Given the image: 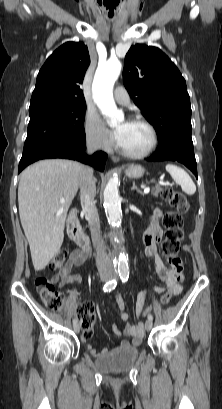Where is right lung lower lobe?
Returning a JSON list of instances; mask_svg holds the SVG:
<instances>
[{
  "label": "right lung lower lobe",
  "instance_id": "98d812e1",
  "mask_svg": "<svg viewBox=\"0 0 222 409\" xmlns=\"http://www.w3.org/2000/svg\"><path fill=\"white\" fill-rule=\"evenodd\" d=\"M85 149V141L73 148L71 151H54V150H38L27 155H23L19 163V172H21L29 164L46 158H68L87 163L96 169L103 171L107 159V154L104 152H96L89 157L82 151Z\"/></svg>",
  "mask_w": 222,
  "mask_h": 409
}]
</instances>
